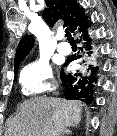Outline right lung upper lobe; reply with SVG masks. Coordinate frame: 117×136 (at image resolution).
<instances>
[{"mask_svg": "<svg viewBox=\"0 0 117 136\" xmlns=\"http://www.w3.org/2000/svg\"><path fill=\"white\" fill-rule=\"evenodd\" d=\"M47 8L43 11V18L48 25L53 26L58 20H63L71 32L86 25V18L83 16V9L78 6L75 0H45ZM79 29V30H80ZM34 45V37L25 35L16 50L14 68L19 67L21 61L29 53Z\"/></svg>", "mask_w": 117, "mask_h": 136, "instance_id": "1", "label": "right lung upper lobe"}]
</instances>
